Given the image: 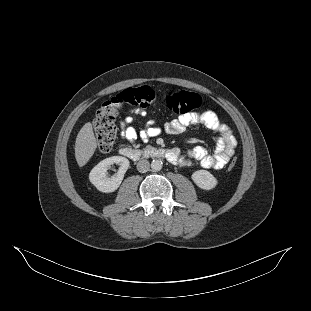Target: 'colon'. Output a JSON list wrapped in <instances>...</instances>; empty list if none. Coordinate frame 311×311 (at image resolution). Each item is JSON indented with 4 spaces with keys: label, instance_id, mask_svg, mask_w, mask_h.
<instances>
[{
    "label": "colon",
    "instance_id": "obj_1",
    "mask_svg": "<svg viewBox=\"0 0 311 311\" xmlns=\"http://www.w3.org/2000/svg\"><path fill=\"white\" fill-rule=\"evenodd\" d=\"M200 105L201 97L197 93L187 90L160 95L148 86L128 88L106 101L96 112L93 127L97 137L98 150L101 153L111 151L117 134L115 119L126 106L143 109L162 106L169 112L183 115L197 109ZM236 164L237 159L233 158L229 162L228 170L234 169Z\"/></svg>",
    "mask_w": 311,
    "mask_h": 311
}]
</instances>
